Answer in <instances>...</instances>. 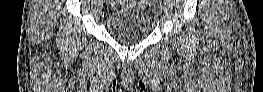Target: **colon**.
I'll return each instance as SVG.
<instances>
[{
    "label": "colon",
    "instance_id": "colon-1",
    "mask_svg": "<svg viewBox=\"0 0 263 92\" xmlns=\"http://www.w3.org/2000/svg\"><path fill=\"white\" fill-rule=\"evenodd\" d=\"M150 2H156V1H140V5L148 4Z\"/></svg>",
    "mask_w": 263,
    "mask_h": 92
}]
</instances>
